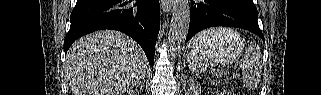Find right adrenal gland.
<instances>
[{"instance_id":"2a0ac1e0","label":"right adrenal gland","mask_w":321,"mask_h":95,"mask_svg":"<svg viewBox=\"0 0 321 95\" xmlns=\"http://www.w3.org/2000/svg\"><path fill=\"white\" fill-rule=\"evenodd\" d=\"M144 84H145V77L141 80V82L138 85H136L135 90H137L139 87L142 90L144 88Z\"/></svg>"}]
</instances>
